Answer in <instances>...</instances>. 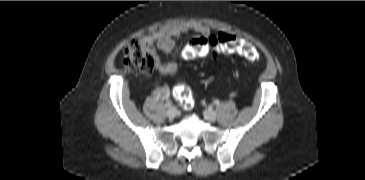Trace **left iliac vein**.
Returning a JSON list of instances; mask_svg holds the SVG:
<instances>
[{
    "label": "left iliac vein",
    "mask_w": 365,
    "mask_h": 180,
    "mask_svg": "<svg viewBox=\"0 0 365 180\" xmlns=\"http://www.w3.org/2000/svg\"><path fill=\"white\" fill-rule=\"evenodd\" d=\"M204 117L208 121H215L217 118V114L214 110H212L211 108H208L204 111Z\"/></svg>",
    "instance_id": "left-iliac-vein-1"
}]
</instances>
